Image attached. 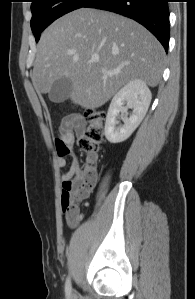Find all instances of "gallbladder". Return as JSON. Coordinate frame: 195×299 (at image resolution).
I'll return each mask as SVG.
<instances>
[{"mask_svg":"<svg viewBox=\"0 0 195 299\" xmlns=\"http://www.w3.org/2000/svg\"><path fill=\"white\" fill-rule=\"evenodd\" d=\"M72 90L71 79L62 77L53 83L48 93L49 100L53 103H62L70 97Z\"/></svg>","mask_w":195,"mask_h":299,"instance_id":"bac80fb5","label":"gallbladder"}]
</instances>
